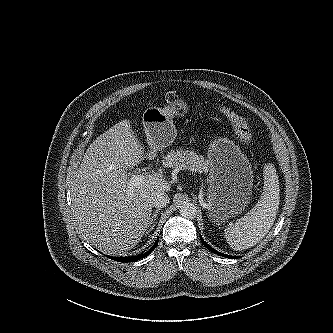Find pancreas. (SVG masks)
<instances>
[{
  "label": "pancreas",
  "mask_w": 333,
  "mask_h": 333,
  "mask_svg": "<svg viewBox=\"0 0 333 333\" xmlns=\"http://www.w3.org/2000/svg\"><path fill=\"white\" fill-rule=\"evenodd\" d=\"M163 164L165 167L190 170L192 172L207 173L209 171V163L204 157L189 150H171L164 157Z\"/></svg>",
  "instance_id": "cf45deb5"
}]
</instances>
